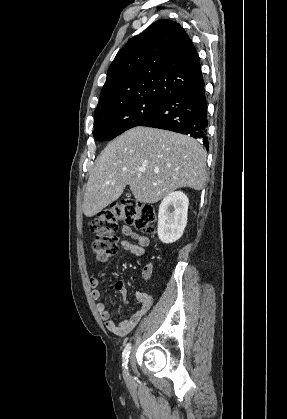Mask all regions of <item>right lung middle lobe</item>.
Returning <instances> with one entry per match:
<instances>
[{
    "label": "right lung middle lobe",
    "mask_w": 287,
    "mask_h": 419,
    "mask_svg": "<svg viewBox=\"0 0 287 419\" xmlns=\"http://www.w3.org/2000/svg\"><path fill=\"white\" fill-rule=\"evenodd\" d=\"M162 99H139L96 113L93 137L109 141L126 130L139 126L163 103Z\"/></svg>",
    "instance_id": "obj_1"
}]
</instances>
